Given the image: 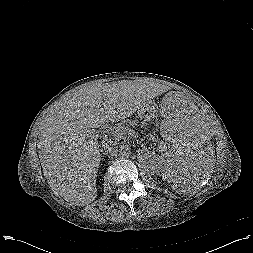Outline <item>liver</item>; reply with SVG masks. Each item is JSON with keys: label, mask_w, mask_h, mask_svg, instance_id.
<instances>
[{"label": "liver", "mask_w": 253, "mask_h": 253, "mask_svg": "<svg viewBox=\"0 0 253 253\" xmlns=\"http://www.w3.org/2000/svg\"><path fill=\"white\" fill-rule=\"evenodd\" d=\"M155 96L154 87L123 80L87 86L55 106L40 124L38 142L51 188L74 205L93 202L101 160L94 128L132 116Z\"/></svg>", "instance_id": "obj_1"}]
</instances>
